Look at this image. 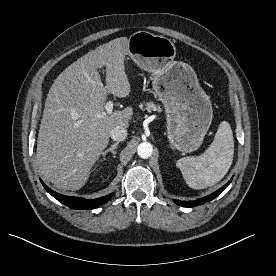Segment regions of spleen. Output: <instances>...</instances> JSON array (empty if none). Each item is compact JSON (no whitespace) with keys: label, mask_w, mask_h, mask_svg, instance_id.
<instances>
[{"label":"spleen","mask_w":276,"mask_h":276,"mask_svg":"<svg viewBox=\"0 0 276 276\" xmlns=\"http://www.w3.org/2000/svg\"><path fill=\"white\" fill-rule=\"evenodd\" d=\"M234 156V138L230 124L220 123L214 141L197 157H183L176 166L189 187L204 189L219 182L228 172Z\"/></svg>","instance_id":"3e777b00"}]
</instances>
